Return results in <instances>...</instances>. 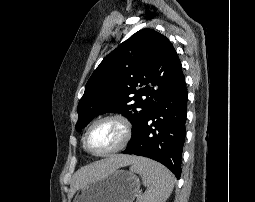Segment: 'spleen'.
<instances>
[{"label":"spleen","instance_id":"3e777b00","mask_svg":"<svg viewBox=\"0 0 255 202\" xmlns=\"http://www.w3.org/2000/svg\"><path fill=\"white\" fill-rule=\"evenodd\" d=\"M138 173L147 187L139 202H165L172 193L175 177L163 165L146 158H138L130 168Z\"/></svg>","mask_w":255,"mask_h":202}]
</instances>
